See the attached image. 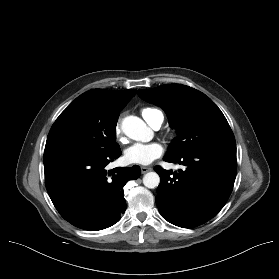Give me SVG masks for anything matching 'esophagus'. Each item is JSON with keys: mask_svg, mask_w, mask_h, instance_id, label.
Wrapping results in <instances>:
<instances>
[{"mask_svg": "<svg viewBox=\"0 0 279 279\" xmlns=\"http://www.w3.org/2000/svg\"><path fill=\"white\" fill-rule=\"evenodd\" d=\"M151 170H152L151 167L141 166V172H142V174H145V173H147V172H149V171H151Z\"/></svg>", "mask_w": 279, "mask_h": 279, "instance_id": "obj_1", "label": "esophagus"}]
</instances>
